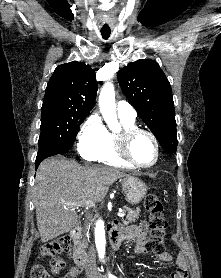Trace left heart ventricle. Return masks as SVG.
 I'll list each match as a JSON object with an SVG mask.
<instances>
[{
	"instance_id": "obj_1",
	"label": "left heart ventricle",
	"mask_w": 221,
	"mask_h": 278,
	"mask_svg": "<svg viewBox=\"0 0 221 278\" xmlns=\"http://www.w3.org/2000/svg\"><path fill=\"white\" fill-rule=\"evenodd\" d=\"M128 152L133 161L142 165L152 164L156 156L151 138L144 133H139L133 137Z\"/></svg>"
}]
</instances>
